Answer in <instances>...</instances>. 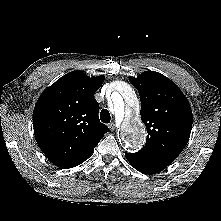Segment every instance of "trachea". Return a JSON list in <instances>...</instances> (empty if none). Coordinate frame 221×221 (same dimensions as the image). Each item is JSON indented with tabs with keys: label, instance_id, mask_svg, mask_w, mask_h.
I'll return each instance as SVG.
<instances>
[{
	"label": "trachea",
	"instance_id": "3493384b",
	"mask_svg": "<svg viewBox=\"0 0 221 221\" xmlns=\"http://www.w3.org/2000/svg\"><path fill=\"white\" fill-rule=\"evenodd\" d=\"M100 119L103 123H110L111 116L107 109H103L100 112Z\"/></svg>",
	"mask_w": 221,
	"mask_h": 221
}]
</instances>
